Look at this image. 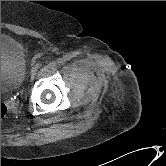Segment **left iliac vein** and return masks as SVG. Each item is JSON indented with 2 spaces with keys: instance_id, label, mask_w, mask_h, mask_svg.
<instances>
[{
  "instance_id": "4c4485c4",
  "label": "left iliac vein",
  "mask_w": 166,
  "mask_h": 166,
  "mask_svg": "<svg viewBox=\"0 0 166 166\" xmlns=\"http://www.w3.org/2000/svg\"><path fill=\"white\" fill-rule=\"evenodd\" d=\"M37 69H38V68H37L36 66L32 67V69H31V74H32V75H36Z\"/></svg>"
}]
</instances>
